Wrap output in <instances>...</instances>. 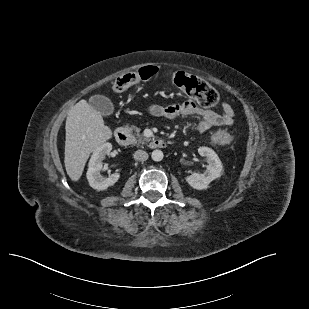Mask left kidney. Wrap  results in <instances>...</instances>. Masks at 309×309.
<instances>
[{
	"instance_id": "5707ae66",
	"label": "left kidney",
	"mask_w": 309,
	"mask_h": 309,
	"mask_svg": "<svg viewBox=\"0 0 309 309\" xmlns=\"http://www.w3.org/2000/svg\"><path fill=\"white\" fill-rule=\"evenodd\" d=\"M198 153L207 158L206 171L203 174L193 173L187 176L185 180L194 189L203 190L207 189L213 180L221 176L222 163L215 151L209 147H199Z\"/></svg>"
}]
</instances>
